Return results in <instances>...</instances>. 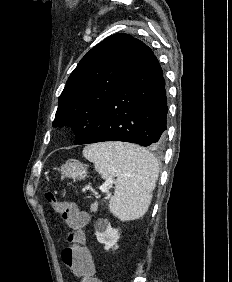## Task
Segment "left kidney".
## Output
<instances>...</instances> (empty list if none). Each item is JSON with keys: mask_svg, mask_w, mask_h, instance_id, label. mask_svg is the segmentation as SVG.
Segmentation results:
<instances>
[{"mask_svg": "<svg viewBox=\"0 0 232 282\" xmlns=\"http://www.w3.org/2000/svg\"><path fill=\"white\" fill-rule=\"evenodd\" d=\"M95 235L99 243L105 245V250L117 249V241L120 237L118 229H113L106 220H99L95 225Z\"/></svg>", "mask_w": 232, "mask_h": 282, "instance_id": "obj_1", "label": "left kidney"}]
</instances>
